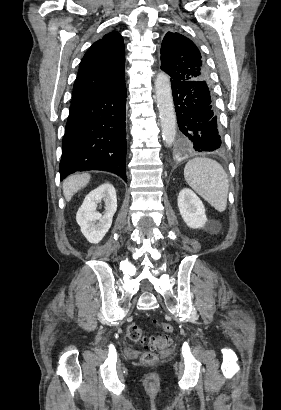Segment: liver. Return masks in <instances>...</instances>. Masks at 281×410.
<instances>
[{
    "label": "liver",
    "instance_id": "6515ba94",
    "mask_svg": "<svg viewBox=\"0 0 281 410\" xmlns=\"http://www.w3.org/2000/svg\"><path fill=\"white\" fill-rule=\"evenodd\" d=\"M90 177L91 176L88 173L68 177L63 182V193L66 201H70L76 192L85 187L88 184Z\"/></svg>",
    "mask_w": 281,
    "mask_h": 410
}]
</instances>
